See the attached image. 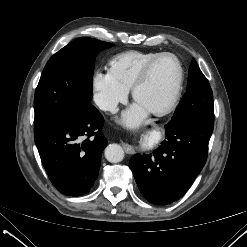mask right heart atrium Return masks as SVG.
<instances>
[{
  "instance_id": "right-heart-atrium-1",
  "label": "right heart atrium",
  "mask_w": 247,
  "mask_h": 247,
  "mask_svg": "<svg viewBox=\"0 0 247 247\" xmlns=\"http://www.w3.org/2000/svg\"><path fill=\"white\" fill-rule=\"evenodd\" d=\"M91 89L94 103L104 112H115L128 96V90L109 71L96 70L91 78Z\"/></svg>"
}]
</instances>
